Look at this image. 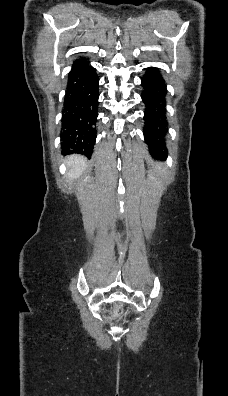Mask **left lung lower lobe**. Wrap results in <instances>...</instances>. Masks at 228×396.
<instances>
[{
  "label": "left lung lower lobe",
  "instance_id": "obj_1",
  "mask_svg": "<svg viewBox=\"0 0 228 396\" xmlns=\"http://www.w3.org/2000/svg\"><path fill=\"white\" fill-rule=\"evenodd\" d=\"M142 100L145 104L144 111V139L149 146V152L163 158L167 157L168 150L165 146L167 133L166 120V84L157 68L149 67L142 77Z\"/></svg>",
  "mask_w": 228,
  "mask_h": 396
}]
</instances>
